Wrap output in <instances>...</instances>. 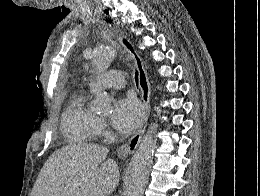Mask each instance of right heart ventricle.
Wrapping results in <instances>:
<instances>
[{
    "label": "right heart ventricle",
    "mask_w": 260,
    "mask_h": 196,
    "mask_svg": "<svg viewBox=\"0 0 260 196\" xmlns=\"http://www.w3.org/2000/svg\"><path fill=\"white\" fill-rule=\"evenodd\" d=\"M93 90L91 84L76 87L72 90L71 101L62 119L63 129L69 137H72L77 130L96 129L98 118L88 106V97ZM75 141L78 143H94L95 139L83 136ZM50 192H57V190H50Z\"/></svg>",
    "instance_id": "e07e8e85"
}]
</instances>
